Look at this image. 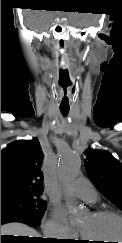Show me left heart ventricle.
<instances>
[{
	"label": "left heart ventricle",
	"instance_id": "b2bd125f",
	"mask_svg": "<svg viewBox=\"0 0 122 243\" xmlns=\"http://www.w3.org/2000/svg\"><path fill=\"white\" fill-rule=\"evenodd\" d=\"M78 226L85 237L95 240L90 243H104V240L122 238V222L113 216L95 217L88 214Z\"/></svg>",
	"mask_w": 122,
	"mask_h": 243
}]
</instances>
